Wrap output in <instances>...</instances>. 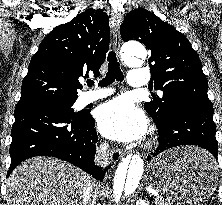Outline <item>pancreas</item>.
I'll list each match as a JSON object with an SVG mask.
<instances>
[{"mask_svg":"<svg viewBox=\"0 0 222 205\" xmlns=\"http://www.w3.org/2000/svg\"><path fill=\"white\" fill-rule=\"evenodd\" d=\"M156 205H172V203L169 200H166L162 197L155 199Z\"/></svg>","mask_w":222,"mask_h":205,"instance_id":"pancreas-1","label":"pancreas"}]
</instances>
